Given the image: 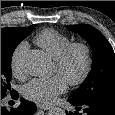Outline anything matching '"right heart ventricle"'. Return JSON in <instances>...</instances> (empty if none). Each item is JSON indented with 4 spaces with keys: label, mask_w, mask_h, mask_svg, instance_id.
Segmentation results:
<instances>
[{
    "label": "right heart ventricle",
    "mask_w": 115,
    "mask_h": 115,
    "mask_svg": "<svg viewBox=\"0 0 115 115\" xmlns=\"http://www.w3.org/2000/svg\"><path fill=\"white\" fill-rule=\"evenodd\" d=\"M35 43L56 60L71 43V39L55 29H45L35 37Z\"/></svg>",
    "instance_id": "right-heart-ventricle-1"
}]
</instances>
